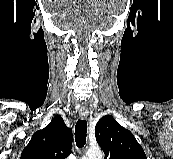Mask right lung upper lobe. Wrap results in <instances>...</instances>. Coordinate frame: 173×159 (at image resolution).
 Wrapping results in <instances>:
<instances>
[{
	"instance_id": "right-lung-upper-lobe-1",
	"label": "right lung upper lobe",
	"mask_w": 173,
	"mask_h": 159,
	"mask_svg": "<svg viewBox=\"0 0 173 159\" xmlns=\"http://www.w3.org/2000/svg\"><path fill=\"white\" fill-rule=\"evenodd\" d=\"M72 139V130L57 115L33 134L20 159H65L71 153Z\"/></svg>"
}]
</instances>
